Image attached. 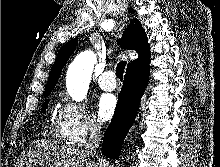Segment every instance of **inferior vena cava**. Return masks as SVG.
<instances>
[{"instance_id": "inferior-vena-cava-1", "label": "inferior vena cava", "mask_w": 220, "mask_h": 167, "mask_svg": "<svg viewBox=\"0 0 220 167\" xmlns=\"http://www.w3.org/2000/svg\"><path fill=\"white\" fill-rule=\"evenodd\" d=\"M89 131V140L85 145V151L93 155L101 141L100 127L96 122L91 121L89 123Z\"/></svg>"}]
</instances>
